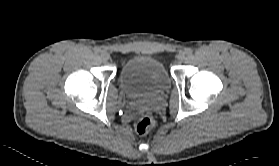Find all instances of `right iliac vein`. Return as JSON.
<instances>
[{"mask_svg": "<svg viewBox=\"0 0 279 166\" xmlns=\"http://www.w3.org/2000/svg\"><path fill=\"white\" fill-rule=\"evenodd\" d=\"M100 56L104 61L109 59V54L106 51H101Z\"/></svg>", "mask_w": 279, "mask_h": 166, "instance_id": "63e3f726", "label": "right iliac vein"}]
</instances>
